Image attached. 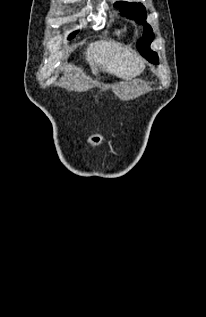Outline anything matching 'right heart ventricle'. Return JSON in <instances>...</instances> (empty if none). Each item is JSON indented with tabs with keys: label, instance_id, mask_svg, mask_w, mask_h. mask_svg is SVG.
<instances>
[{
	"label": "right heart ventricle",
	"instance_id": "1",
	"mask_svg": "<svg viewBox=\"0 0 206 317\" xmlns=\"http://www.w3.org/2000/svg\"><path fill=\"white\" fill-rule=\"evenodd\" d=\"M127 31V28L125 26H118L116 29H115V33L118 35V36H122L126 33Z\"/></svg>",
	"mask_w": 206,
	"mask_h": 317
}]
</instances>
